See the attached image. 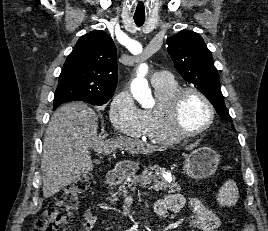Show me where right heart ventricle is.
Instances as JSON below:
<instances>
[{
    "instance_id": "1",
    "label": "right heart ventricle",
    "mask_w": 268,
    "mask_h": 231,
    "mask_svg": "<svg viewBox=\"0 0 268 231\" xmlns=\"http://www.w3.org/2000/svg\"><path fill=\"white\" fill-rule=\"evenodd\" d=\"M156 98L155 106L141 109L144 127L143 138L151 143L171 145L179 139L173 136L167 125L166 110L169 98L179 89L172 78L152 84Z\"/></svg>"
}]
</instances>
